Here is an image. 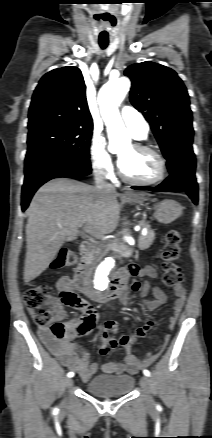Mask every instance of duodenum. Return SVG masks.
<instances>
[{
    "label": "duodenum",
    "instance_id": "obj_1",
    "mask_svg": "<svg viewBox=\"0 0 212 438\" xmlns=\"http://www.w3.org/2000/svg\"><path fill=\"white\" fill-rule=\"evenodd\" d=\"M92 254V244L84 241L80 244L81 261L75 271V286L78 291L92 301L102 302L120 298L123 291V278L118 274L113 277L109 288L104 293L96 291L89 280V263Z\"/></svg>",
    "mask_w": 212,
    "mask_h": 438
}]
</instances>
